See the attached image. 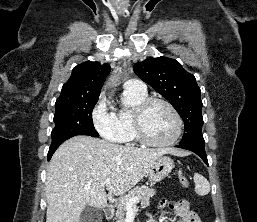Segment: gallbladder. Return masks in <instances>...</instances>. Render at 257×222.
<instances>
[{"mask_svg": "<svg viewBox=\"0 0 257 222\" xmlns=\"http://www.w3.org/2000/svg\"><path fill=\"white\" fill-rule=\"evenodd\" d=\"M103 211L100 208L87 206L82 211L79 222H102Z\"/></svg>", "mask_w": 257, "mask_h": 222, "instance_id": "gallbladder-1", "label": "gallbladder"}]
</instances>
